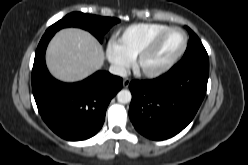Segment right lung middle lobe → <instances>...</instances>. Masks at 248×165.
Listing matches in <instances>:
<instances>
[{
  "mask_svg": "<svg viewBox=\"0 0 248 165\" xmlns=\"http://www.w3.org/2000/svg\"><path fill=\"white\" fill-rule=\"evenodd\" d=\"M118 22H120V20L117 18L73 12L50 26L45 34L55 33L64 27H80L91 32L100 42H102L104 34Z\"/></svg>",
  "mask_w": 248,
  "mask_h": 165,
  "instance_id": "obj_1",
  "label": "right lung middle lobe"
}]
</instances>
